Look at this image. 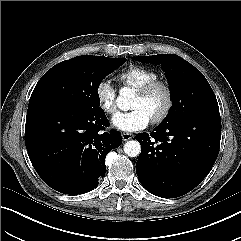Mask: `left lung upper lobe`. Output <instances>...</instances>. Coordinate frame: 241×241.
Masks as SVG:
<instances>
[{"mask_svg":"<svg viewBox=\"0 0 241 241\" xmlns=\"http://www.w3.org/2000/svg\"><path fill=\"white\" fill-rule=\"evenodd\" d=\"M134 60L161 64L168 79L172 107L160 125L170 124L191 115H219L214 92L203 74L174 54L133 57Z\"/></svg>","mask_w":241,"mask_h":241,"instance_id":"1","label":"left lung upper lobe"}]
</instances>
